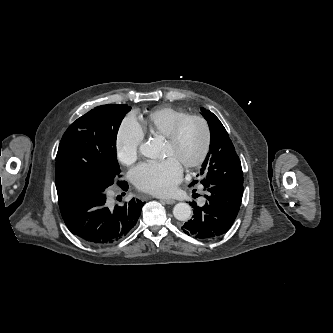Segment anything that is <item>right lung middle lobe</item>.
<instances>
[{
	"instance_id": "right-lung-middle-lobe-1",
	"label": "right lung middle lobe",
	"mask_w": 333,
	"mask_h": 333,
	"mask_svg": "<svg viewBox=\"0 0 333 333\" xmlns=\"http://www.w3.org/2000/svg\"><path fill=\"white\" fill-rule=\"evenodd\" d=\"M126 104L95 107L74 121L64 133L56 155L58 196L70 191H104L116 182L120 168L116 138Z\"/></svg>"
}]
</instances>
